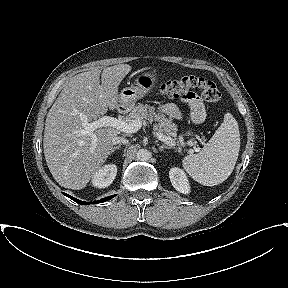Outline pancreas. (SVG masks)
I'll return each instance as SVG.
<instances>
[{
	"mask_svg": "<svg viewBox=\"0 0 288 288\" xmlns=\"http://www.w3.org/2000/svg\"><path fill=\"white\" fill-rule=\"evenodd\" d=\"M154 107L149 105L139 104L133 108L129 115L125 118L126 122L140 119L143 123L147 121L158 122V131L167 137H175L177 132V125L168 119L164 114L157 113Z\"/></svg>",
	"mask_w": 288,
	"mask_h": 288,
	"instance_id": "pancreas-1",
	"label": "pancreas"
}]
</instances>
